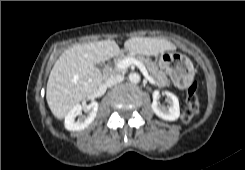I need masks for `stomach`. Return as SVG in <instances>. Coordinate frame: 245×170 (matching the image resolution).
<instances>
[{"label":"stomach","instance_id":"0dacf381","mask_svg":"<svg viewBox=\"0 0 245 170\" xmlns=\"http://www.w3.org/2000/svg\"><path fill=\"white\" fill-rule=\"evenodd\" d=\"M158 65L162 71L168 74L176 73L184 66H191L190 60L177 52H162L159 56Z\"/></svg>","mask_w":245,"mask_h":170}]
</instances>
